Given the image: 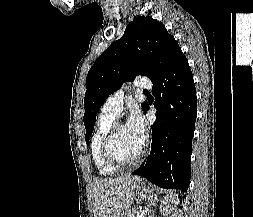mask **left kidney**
<instances>
[{"mask_svg": "<svg viewBox=\"0 0 253 217\" xmlns=\"http://www.w3.org/2000/svg\"><path fill=\"white\" fill-rule=\"evenodd\" d=\"M168 201L176 203L174 197L170 196V199H168V197H165L164 200L162 201V204H166ZM163 212H164V209H163Z\"/></svg>", "mask_w": 253, "mask_h": 217, "instance_id": "left-kidney-1", "label": "left kidney"}]
</instances>
